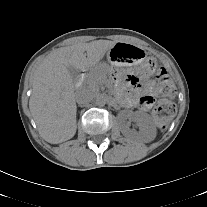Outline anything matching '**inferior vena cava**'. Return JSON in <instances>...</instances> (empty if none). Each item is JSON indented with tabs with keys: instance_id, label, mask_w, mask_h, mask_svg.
<instances>
[{
	"instance_id": "602c4592",
	"label": "inferior vena cava",
	"mask_w": 207,
	"mask_h": 207,
	"mask_svg": "<svg viewBox=\"0 0 207 207\" xmlns=\"http://www.w3.org/2000/svg\"><path fill=\"white\" fill-rule=\"evenodd\" d=\"M93 98L94 95L89 89L82 88L76 92L75 101L79 105H85L87 103H90L93 100Z\"/></svg>"
}]
</instances>
